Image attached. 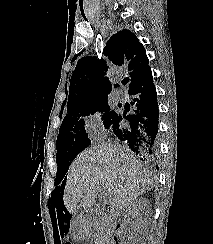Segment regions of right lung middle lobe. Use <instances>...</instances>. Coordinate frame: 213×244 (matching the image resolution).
Returning a JSON list of instances; mask_svg holds the SVG:
<instances>
[{
	"label": "right lung middle lobe",
	"instance_id": "1",
	"mask_svg": "<svg viewBox=\"0 0 213 244\" xmlns=\"http://www.w3.org/2000/svg\"><path fill=\"white\" fill-rule=\"evenodd\" d=\"M108 97H102L84 105L73 106L67 109V115L61 124L57 137L56 162L58 165L55 185L59 184L65 176L71 161L79 152L90 145L88 134L85 133L83 116L90 113L104 112V126L109 128L115 112L110 111Z\"/></svg>",
	"mask_w": 213,
	"mask_h": 244
}]
</instances>
